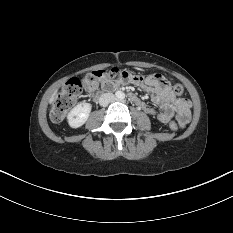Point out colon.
<instances>
[{
	"label": "colon",
	"mask_w": 233,
	"mask_h": 233,
	"mask_svg": "<svg viewBox=\"0 0 233 233\" xmlns=\"http://www.w3.org/2000/svg\"><path fill=\"white\" fill-rule=\"evenodd\" d=\"M117 68L102 69L86 74L82 78H73L66 83L63 89L56 95L50 110V117L54 122L64 119L66 113L76 104L83 95H96L102 88H112L116 82ZM160 78L167 80V77L160 75ZM183 86L173 83V94L180 96L183 94ZM171 130L178 129L175 122L169 124Z\"/></svg>",
	"instance_id": "obj_1"
}]
</instances>
